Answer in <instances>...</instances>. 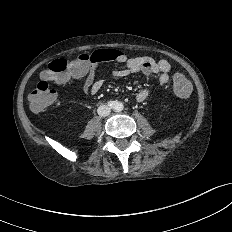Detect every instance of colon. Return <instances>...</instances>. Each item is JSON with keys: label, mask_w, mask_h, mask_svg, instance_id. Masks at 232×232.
Listing matches in <instances>:
<instances>
[{"label": "colon", "mask_w": 232, "mask_h": 232, "mask_svg": "<svg viewBox=\"0 0 232 232\" xmlns=\"http://www.w3.org/2000/svg\"><path fill=\"white\" fill-rule=\"evenodd\" d=\"M113 53L108 49L96 50L92 53H83L70 59L59 58L52 61L41 74V80L29 95L30 107L35 112H41L52 105L56 93L49 86V81L57 82L70 72L81 73L90 66L111 60ZM175 93L180 97H187L191 92V84L187 78L176 73L173 78Z\"/></svg>", "instance_id": "obj_1"}]
</instances>
